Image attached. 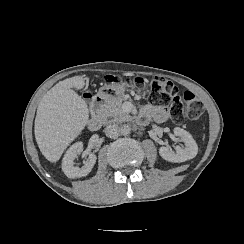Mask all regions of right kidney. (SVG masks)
I'll return each instance as SVG.
<instances>
[{
    "mask_svg": "<svg viewBox=\"0 0 244 244\" xmlns=\"http://www.w3.org/2000/svg\"><path fill=\"white\" fill-rule=\"evenodd\" d=\"M82 150L83 143L76 142L67 150L66 154L64 155L62 160V170L68 178L83 177L91 172L97 159L96 155L93 153L89 154L88 159L81 168L74 166V159L82 152Z\"/></svg>",
    "mask_w": 244,
    "mask_h": 244,
    "instance_id": "right-kidney-1",
    "label": "right kidney"
}]
</instances>
